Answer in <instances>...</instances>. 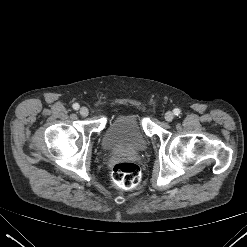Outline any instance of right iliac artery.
Wrapping results in <instances>:
<instances>
[{
  "mask_svg": "<svg viewBox=\"0 0 247 247\" xmlns=\"http://www.w3.org/2000/svg\"><path fill=\"white\" fill-rule=\"evenodd\" d=\"M72 107L74 110H78L80 106L78 103H74Z\"/></svg>",
  "mask_w": 247,
  "mask_h": 247,
  "instance_id": "82829eb1",
  "label": "right iliac artery"
}]
</instances>
